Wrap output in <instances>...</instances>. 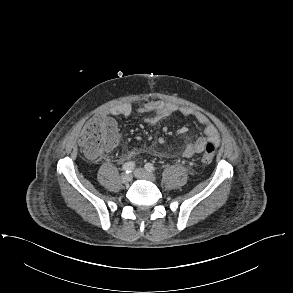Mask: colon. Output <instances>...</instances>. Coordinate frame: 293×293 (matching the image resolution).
Returning <instances> with one entry per match:
<instances>
[{"label":"colon","mask_w":293,"mask_h":293,"mask_svg":"<svg viewBox=\"0 0 293 293\" xmlns=\"http://www.w3.org/2000/svg\"><path fill=\"white\" fill-rule=\"evenodd\" d=\"M118 140L116 122L107 116L96 115L88 120L79 140L82 153L92 160L101 157L103 151L113 147ZM216 152V145L208 143L201 157L205 164L212 162Z\"/></svg>","instance_id":"5ec220e1"}]
</instances>
